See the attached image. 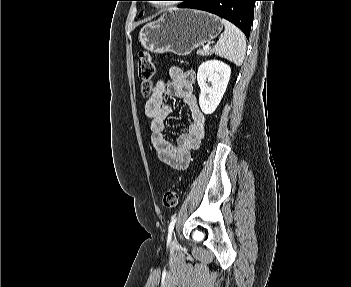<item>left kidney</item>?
Instances as JSON below:
<instances>
[{"mask_svg":"<svg viewBox=\"0 0 351 287\" xmlns=\"http://www.w3.org/2000/svg\"><path fill=\"white\" fill-rule=\"evenodd\" d=\"M231 68L219 60L203 62L197 72L200 87L199 105L204 114H212L218 107L229 82ZM210 82L209 86L206 82Z\"/></svg>","mask_w":351,"mask_h":287,"instance_id":"5707ae66","label":"left kidney"}]
</instances>
